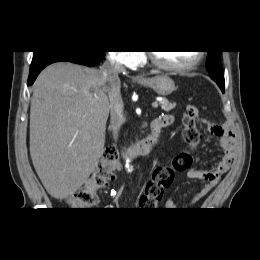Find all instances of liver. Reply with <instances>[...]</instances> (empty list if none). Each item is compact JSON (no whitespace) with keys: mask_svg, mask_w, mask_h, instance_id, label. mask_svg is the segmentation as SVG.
<instances>
[{"mask_svg":"<svg viewBox=\"0 0 260 260\" xmlns=\"http://www.w3.org/2000/svg\"><path fill=\"white\" fill-rule=\"evenodd\" d=\"M108 85L101 70L70 62L46 67L37 77L30 108V155L47 192L75 193L104 151Z\"/></svg>","mask_w":260,"mask_h":260,"instance_id":"1","label":"liver"}]
</instances>
